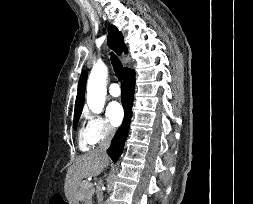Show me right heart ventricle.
Wrapping results in <instances>:
<instances>
[{"label":"right heart ventricle","mask_w":253,"mask_h":204,"mask_svg":"<svg viewBox=\"0 0 253 204\" xmlns=\"http://www.w3.org/2000/svg\"><path fill=\"white\" fill-rule=\"evenodd\" d=\"M78 145L82 151L89 150L92 145L86 133L85 127H81L79 130Z\"/></svg>","instance_id":"e07e8e85"}]
</instances>
